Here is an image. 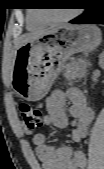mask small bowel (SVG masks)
<instances>
[{
	"label": "small bowel",
	"instance_id": "1",
	"mask_svg": "<svg viewBox=\"0 0 104 169\" xmlns=\"http://www.w3.org/2000/svg\"><path fill=\"white\" fill-rule=\"evenodd\" d=\"M67 100L71 102L69 114L77 121L72 140L81 142L88 134V128L94 119V110L87 104L84 94L78 88L53 91L46 99L43 122L45 125L65 129L69 125L65 110ZM32 140L43 169H85L87 166V155L83 151H73L68 145L49 144L44 133L35 134Z\"/></svg>",
	"mask_w": 104,
	"mask_h": 169
}]
</instances>
